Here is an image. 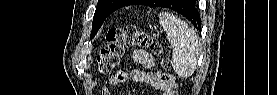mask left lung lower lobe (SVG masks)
I'll list each match as a JSON object with an SVG mask.
<instances>
[{
  "label": "left lung lower lobe",
  "mask_w": 277,
  "mask_h": 95,
  "mask_svg": "<svg viewBox=\"0 0 277 95\" xmlns=\"http://www.w3.org/2000/svg\"><path fill=\"white\" fill-rule=\"evenodd\" d=\"M152 1L153 0H132L128 5L141 4L150 6ZM179 1L180 0H162L159 7H165L177 11L191 21L197 29H200V15L196 10V0Z\"/></svg>",
  "instance_id": "left-lung-lower-lobe-1"
}]
</instances>
